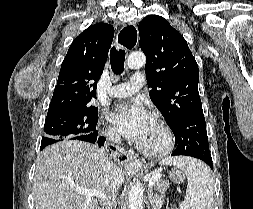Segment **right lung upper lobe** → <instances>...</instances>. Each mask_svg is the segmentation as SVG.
Instances as JSON below:
<instances>
[{
	"label": "right lung upper lobe",
	"instance_id": "cb5924a9",
	"mask_svg": "<svg viewBox=\"0 0 253 209\" xmlns=\"http://www.w3.org/2000/svg\"><path fill=\"white\" fill-rule=\"evenodd\" d=\"M114 37L112 25H91L74 39L64 58L47 115L64 109L91 107L97 80Z\"/></svg>",
	"mask_w": 253,
	"mask_h": 209
}]
</instances>
